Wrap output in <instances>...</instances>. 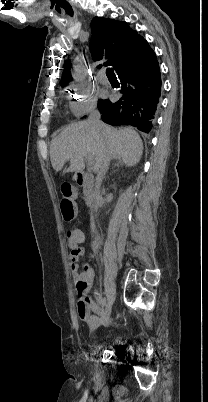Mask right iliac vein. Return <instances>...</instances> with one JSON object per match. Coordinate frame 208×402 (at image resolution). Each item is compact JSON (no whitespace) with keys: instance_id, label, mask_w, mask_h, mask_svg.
Returning a JSON list of instances; mask_svg holds the SVG:
<instances>
[{"instance_id":"63e3f726","label":"right iliac vein","mask_w":208,"mask_h":402,"mask_svg":"<svg viewBox=\"0 0 208 402\" xmlns=\"http://www.w3.org/2000/svg\"><path fill=\"white\" fill-rule=\"evenodd\" d=\"M111 310H112V306L109 303L106 307V317L109 318L110 314H111Z\"/></svg>"}]
</instances>
